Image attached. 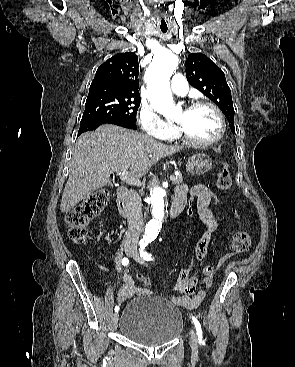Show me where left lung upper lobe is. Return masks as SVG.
I'll use <instances>...</instances> for the list:
<instances>
[{
    "mask_svg": "<svg viewBox=\"0 0 295 367\" xmlns=\"http://www.w3.org/2000/svg\"><path fill=\"white\" fill-rule=\"evenodd\" d=\"M186 77L194 88L201 91L221 109L229 122L231 131L234 132V108L224 72L204 54L192 53L186 61Z\"/></svg>",
    "mask_w": 295,
    "mask_h": 367,
    "instance_id": "obj_1",
    "label": "left lung upper lobe"
}]
</instances>
